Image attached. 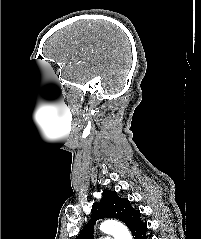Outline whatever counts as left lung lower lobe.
<instances>
[{
	"mask_svg": "<svg viewBox=\"0 0 201 239\" xmlns=\"http://www.w3.org/2000/svg\"><path fill=\"white\" fill-rule=\"evenodd\" d=\"M147 230V224L141 223L137 225L131 232L133 239H148V236L146 235Z\"/></svg>",
	"mask_w": 201,
	"mask_h": 239,
	"instance_id": "obj_1",
	"label": "left lung lower lobe"
}]
</instances>
